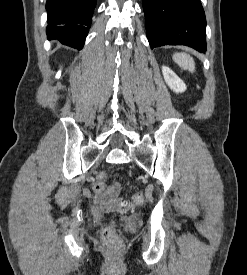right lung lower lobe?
Returning a JSON list of instances; mask_svg holds the SVG:
<instances>
[{"instance_id":"98d812e1","label":"right lung lower lobe","mask_w":247,"mask_h":275,"mask_svg":"<svg viewBox=\"0 0 247 275\" xmlns=\"http://www.w3.org/2000/svg\"><path fill=\"white\" fill-rule=\"evenodd\" d=\"M95 6L96 0H47V38L82 49Z\"/></svg>"}]
</instances>
